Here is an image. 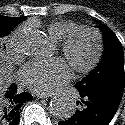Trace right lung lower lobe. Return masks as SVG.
Segmentation results:
<instances>
[{
	"label": "right lung lower lobe",
	"instance_id": "right-lung-lower-lobe-1",
	"mask_svg": "<svg viewBox=\"0 0 125 125\" xmlns=\"http://www.w3.org/2000/svg\"><path fill=\"white\" fill-rule=\"evenodd\" d=\"M16 85H11L5 94L7 103L0 106V125H18L20 121L19 108L21 105L31 100L33 97L30 93H17Z\"/></svg>",
	"mask_w": 125,
	"mask_h": 125
}]
</instances>
